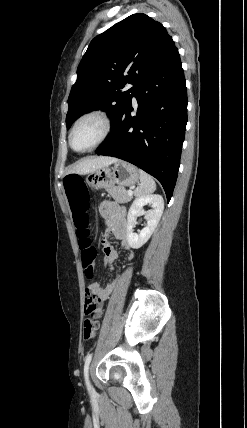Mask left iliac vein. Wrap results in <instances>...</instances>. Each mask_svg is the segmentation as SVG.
<instances>
[{"label": "left iliac vein", "mask_w": 247, "mask_h": 428, "mask_svg": "<svg viewBox=\"0 0 247 428\" xmlns=\"http://www.w3.org/2000/svg\"><path fill=\"white\" fill-rule=\"evenodd\" d=\"M92 389V386H91V384L89 383V390H91Z\"/></svg>", "instance_id": "4c4485c4"}]
</instances>
